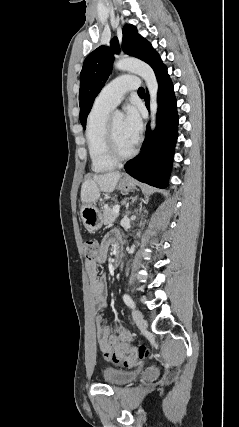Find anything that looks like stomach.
<instances>
[{
    "mask_svg": "<svg viewBox=\"0 0 239 427\" xmlns=\"http://www.w3.org/2000/svg\"><path fill=\"white\" fill-rule=\"evenodd\" d=\"M134 188L135 182L133 180H121L118 184V189L125 193L130 192ZM80 215L82 222L88 231H97L103 225V216L95 204H83L80 210Z\"/></svg>",
    "mask_w": 239,
    "mask_h": 427,
    "instance_id": "stomach-1",
    "label": "stomach"
}]
</instances>
